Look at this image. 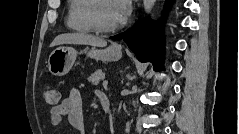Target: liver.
<instances>
[{"instance_id":"liver-1","label":"liver","mask_w":239,"mask_h":134,"mask_svg":"<svg viewBox=\"0 0 239 134\" xmlns=\"http://www.w3.org/2000/svg\"><path fill=\"white\" fill-rule=\"evenodd\" d=\"M61 44H83V45H91L97 47H104L107 45V42L99 37L84 34V33H68L58 35L53 42L51 43V47L61 45Z\"/></svg>"}]
</instances>
